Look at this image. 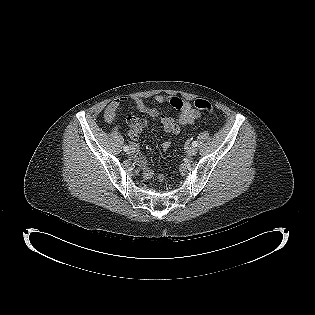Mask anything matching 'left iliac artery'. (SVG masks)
I'll use <instances>...</instances> for the list:
<instances>
[{"instance_id": "1", "label": "left iliac artery", "mask_w": 315, "mask_h": 315, "mask_svg": "<svg viewBox=\"0 0 315 315\" xmlns=\"http://www.w3.org/2000/svg\"><path fill=\"white\" fill-rule=\"evenodd\" d=\"M197 145H198V142H197V141H193V142H192V146H193V147H197Z\"/></svg>"}]
</instances>
